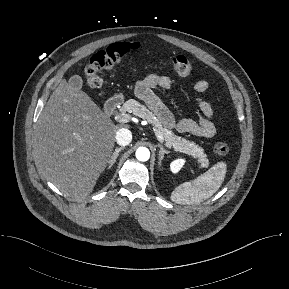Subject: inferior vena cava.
Wrapping results in <instances>:
<instances>
[{
  "mask_svg": "<svg viewBox=\"0 0 289 289\" xmlns=\"http://www.w3.org/2000/svg\"><path fill=\"white\" fill-rule=\"evenodd\" d=\"M115 138L120 146H127L132 141V133L126 128H121L117 130Z\"/></svg>",
  "mask_w": 289,
  "mask_h": 289,
  "instance_id": "602c4592",
  "label": "inferior vena cava"
}]
</instances>
